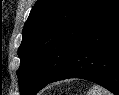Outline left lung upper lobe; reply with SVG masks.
I'll return each mask as SVG.
<instances>
[{"label": "left lung upper lobe", "instance_id": "left-lung-upper-lobe-1", "mask_svg": "<svg viewBox=\"0 0 119 95\" xmlns=\"http://www.w3.org/2000/svg\"><path fill=\"white\" fill-rule=\"evenodd\" d=\"M118 0H38L22 31L21 95H34L67 64L83 35Z\"/></svg>", "mask_w": 119, "mask_h": 95}]
</instances>
